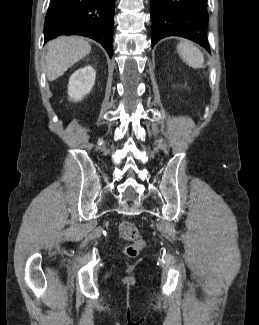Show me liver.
Returning a JSON list of instances; mask_svg holds the SVG:
<instances>
[{"instance_id": "liver-1", "label": "liver", "mask_w": 259, "mask_h": 325, "mask_svg": "<svg viewBox=\"0 0 259 325\" xmlns=\"http://www.w3.org/2000/svg\"><path fill=\"white\" fill-rule=\"evenodd\" d=\"M46 47V73L50 81L62 76L91 51L90 44L80 37H59L48 42Z\"/></svg>"}]
</instances>
